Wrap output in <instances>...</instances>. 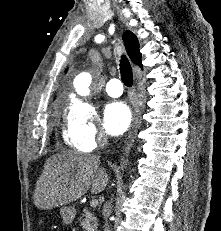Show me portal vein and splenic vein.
Masks as SVG:
<instances>
[{"instance_id":"obj_1","label":"portal vein and splenic vein","mask_w":221,"mask_h":231,"mask_svg":"<svg viewBox=\"0 0 221 231\" xmlns=\"http://www.w3.org/2000/svg\"><path fill=\"white\" fill-rule=\"evenodd\" d=\"M98 205V201L96 199H92L90 202L91 207H96Z\"/></svg>"}]
</instances>
